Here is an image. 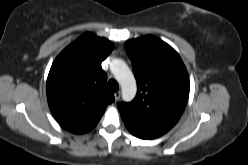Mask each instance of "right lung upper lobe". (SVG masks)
<instances>
[{"mask_svg": "<svg viewBox=\"0 0 248 165\" xmlns=\"http://www.w3.org/2000/svg\"><path fill=\"white\" fill-rule=\"evenodd\" d=\"M113 44L85 33L56 58L50 69L46 92L50 110L66 130L82 134L93 129L114 96L106 90L107 75L101 62Z\"/></svg>", "mask_w": 248, "mask_h": 165, "instance_id": "obj_1", "label": "right lung upper lobe"}]
</instances>
